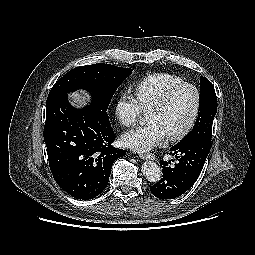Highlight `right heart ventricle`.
Returning <instances> with one entry per match:
<instances>
[{
	"mask_svg": "<svg viewBox=\"0 0 255 255\" xmlns=\"http://www.w3.org/2000/svg\"><path fill=\"white\" fill-rule=\"evenodd\" d=\"M183 82V80L170 73H155L148 75L134 87L135 98L142 111L147 112L171 87Z\"/></svg>",
	"mask_w": 255,
	"mask_h": 255,
	"instance_id": "1",
	"label": "right heart ventricle"
}]
</instances>
